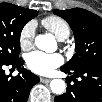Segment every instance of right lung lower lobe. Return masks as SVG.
I'll return each mask as SVG.
<instances>
[{"label": "right lung lower lobe", "mask_w": 102, "mask_h": 102, "mask_svg": "<svg viewBox=\"0 0 102 102\" xmlns=\"http://www.w3.org/2000/svg\"><path fill=\"white\" fill-rule=\"evenodd\" d=\"M22 58L8 63H0V100L2 102H26L31 88L39 82V77L22 67ZM4 65L17 68L19 74L15 77L5 75Z\"/></svg>", "instance_id": "right-lung-lower-lobe-1"}]
</instances>
